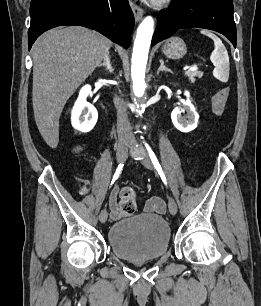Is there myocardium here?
Here are the masks:
<instances>
[{"label":"myocardium","mask_w":261,"mask_h":306,"mask_svg":"<svg viewBox=\"0 0 261 306\" xmlns=\"http://www.w3.org/2000/svg\"><path fill=\"white\" fill-rule=\"evenodd\" d=\"M171 0H153V3L156 7H162L169 4Z\"/></svg>","instance_id":"myocardium-1"}]
</instances>
